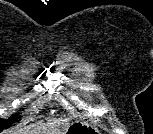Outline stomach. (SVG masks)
I'll list each match as a JSON object with an SVG mask.
<instances>
[{
  "label": "stomach",
  "instance_id": "stomach-1",
  "mask_svg": "<svg viewBox=\"0 0 153 134\" xmlns=\"http://www.w3.org/2000/svg\"><path fill=\"white\" fill-rule=\"evenodd\" d=\"M97 129L83 121L72 122L66 129L65 134H95Z\"/></svg>",
  "mask_w": 153,
  "mask_h": 134
}]
</instances>
